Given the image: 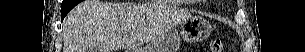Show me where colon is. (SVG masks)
<instances>
[{"label": "colon", "instance_id": "colon-1", "mask_svg": "<svg viewBox=\"0 0 305 52\" xmlns=\"http://www.w3.org/2000/svg\"><path fill=\"white\" fill-rule=\"evenodd\" d=\"M210 50L212 52H223L224 51V43L221 39H214L210 43Z\"/></svg>", "mask_w": 305, "mask_h": 52}]
</instances>
